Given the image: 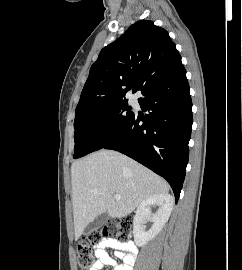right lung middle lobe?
Returning <instances> with one entry per match:
<instances>
[{"mask_svg":"<svg viewBox=\"0 0 242 270\" xmlns=\"http://www.w3.org/2000/svg\"><path fill=\"white\" fill-rule=\"evenodd\" d=\"M127 100H118L76 112L74 158L101 149L133 115Z\"/></svg>","mask_w":242,"mask_h":270,"instance_id":"1","label":"right lung middle lobe"}]
</instances>
